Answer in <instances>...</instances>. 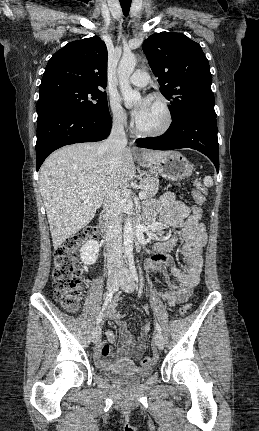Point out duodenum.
<instances>
[{"label":"duodenum","mask_w":259,"mask_h":431,"mask_svg":"<svg viewBox=\"0 0 259 431\" xmlns=\"http://www.w3.org/2000/svg\"><path fill=\"white\" fill-rule=\"evenodd\" d=\"M99 226L101 230L105 234H109L110 226H111V220L108 210H104L101 214ZM136 236H137V242H136V248L137 250H141L144 243V227L139 226L136 230Z\"/></svg>","instance_id":"410a0bca"}]
</instances>
